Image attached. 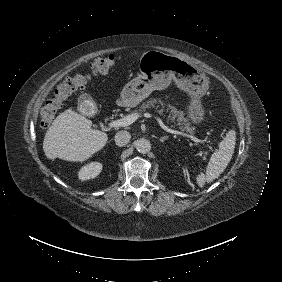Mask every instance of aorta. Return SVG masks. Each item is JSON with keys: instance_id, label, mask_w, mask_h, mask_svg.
<instances>
[{"instance_id": "1", "label": "aorta", "mask_w": 282, "mask_h": 282, "mask_svg": "<svg viewBox=\"0 0 282 282\" xmlns=\"http://www.w3.org/2000/svg\"><path fill=\"white\" fill-rule=\"evenodd\" d=\"M135 147L139 153L146 154L151 150V143L145 138L136 141Z\"/></svg>"}]
</instances>
